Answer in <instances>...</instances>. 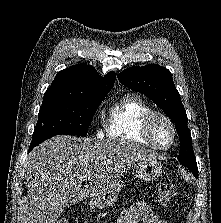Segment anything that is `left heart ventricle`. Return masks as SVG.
I'll use <instances>...</instances> for the list:
<instances>
[{"label":"left heart ventricle","instance_id":"b2bd125f","mask_svg":"<svg viewBox=\"0 0 221 223\" xmlns=\"http://www.w3.org/2000/svg\"><path fill=\"white\" fill-rule=\"evenodd\" d=\"M153 136L161 145H168L172 139L169 126L161 119H157L153 124Z\"/></svg>","mask_w":221,"mask_h":223}]
</instances>
